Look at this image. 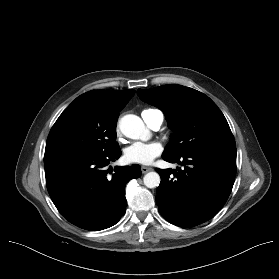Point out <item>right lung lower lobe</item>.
<instances>
[{
    "label": "right lung lower lobe",
    "instance_id": "1",
    "mask_svg": "<svg viewBox=\"0 0 279 279\" xmlns=\"http://www.w3.org/2000/svg\"><path fill=\"white\" fill-rule=\"evenodd\" d=\"M120 155L117 149L103 155L67 152L44 157L49 195L69 222L92 231L119 222L126 210L125 186L141 175L136 164L116 166L109 175L106 166Z\"/></svg>",
    "mask_w": 279,
    "mask_h": 279
}]
</instances>
